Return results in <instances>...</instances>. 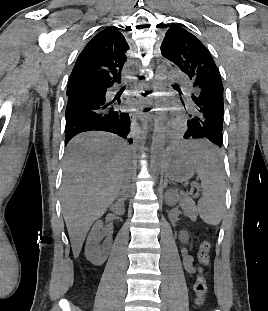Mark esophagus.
I'll use <instances>...</instances> for the list:
<instances>
[{
  "label": "esophagus",
  "instance_id": "1",
  "mask_svg": "<svg viewBox=\"0 0 268 311\" xmlns=\"http://www.w3.org/2000/svg\"><path fill=\"white\" fill-rule=\"evenodd\" d=\"M152 88H153L152 85L149 84L147 85L145 90H141V92L139 93L141 102H144L147 95H150ZM143 109H144V105L140 106L137 112V118L140 121H143L145 118H147V114L143 111Z\"/></svg>",
  "mask_w": 268,
  "mask_h": 311
}]
</instances>
